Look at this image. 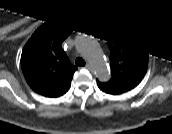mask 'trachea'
Wrapping results in <instances>:
<instances>
[{
    "label": "trachea",
    "mask_w": 172,
    "mask_h": 134,
    "mask_svg": "<svg viewBox=\"0 0 172 134\" xmlns=\"http://www.w3.org/2000/svg\"><path fill=\"white\" fill-rule=\"evenodd\" d=\"M75 63L78 66L79 65H81V66L85 65V61L82 58H80V57L76 58Z\"/></svg>",
    "instance_id": "3493384b"
}]
</instances>
